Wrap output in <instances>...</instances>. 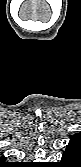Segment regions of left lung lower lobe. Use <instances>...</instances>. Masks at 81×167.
<instances>
[{
	"instance_id": "0a47b994",
	"label": "left lung lower lobe",
	"mask_w": 81,
	"mask_h": 167,
	"mask_svg": "<svg viewBox=\"0 0 81 167\" xmlns=\"http://www.w3.org/2000/svg\"><path fill=\"white\" fill-rule=\"evenodd\" d=\"M81 160V141L71 139L62 156L61 164L66 167H77Z\"/></svg>"
}]
</instances>
